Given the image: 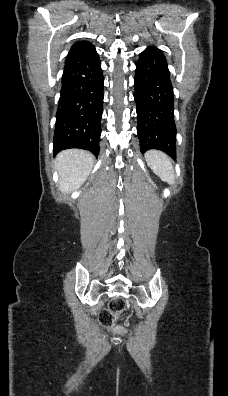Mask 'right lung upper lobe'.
I'll use <instances>...</instances> for the list:
<instances>
[{"mask_svg": "<svg viewBox=\"0 0 228 396\" xmlns=\"http://www.w3.org/2000/svg\"><path fill=\"white\" fill-rule=\"evenodd\" d=\"M88 46H91V43H90V42H87V41L76 42V43L72 46V48H71L69 54H70V53H73V52H75V51H78V50H80V49H83V48H85V47H88Z\"/></svg>", "mask_w": 228, "mask_h": 396, "instance_id": "obj_1", "label": "right lung upper lobe"}]
</instances>
